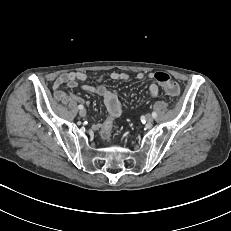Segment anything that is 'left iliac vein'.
Wrapping results in <instances>:
<instances>
[{"label": "left iliac vein", "mask_w": 231, "mask_h": 231, "mask_svg": "<svg viewBox=\"0 0 231 231\" xmlns=\"http://www.w3.org/2000/svg\"><path fill=\"white\" fill-rule=\"evenodd\" d=\"M146 122H147V125H151L153 123V117L147 116Z\"/></svg>", "instance_id": "1"}]
</instances>
